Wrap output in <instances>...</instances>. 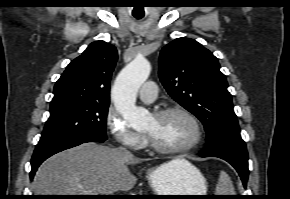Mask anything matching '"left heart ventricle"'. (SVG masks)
<instances>
[{
  "mask_svg": "<svg viewBox=\"0 0 290 199\" xmlns=\"http://www.w3.org/2000/svg\"><path fill=\"white\" fill-rule=\"evenodd\" d=\"M144 132L158 145L165 148L184 147L191 143L195 136L193 125L180 114L163 118L153 116Z\"/></svg>",
  "mask_w": 290,
  "mask_h": 199,
  "instance_id": "b2bd125f",
  "label": "left heart ventricle"
}]
</instances>
